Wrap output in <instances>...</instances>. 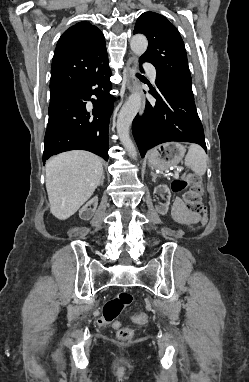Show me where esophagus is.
Returning <instances> with one entry per match:
<instances>
[{
	"label": "esophagus",
	"mask_w": 249,
	"mask_h": 382,
	"mask_svg": "<svg viewBox=\"0 0 249 382\" xmlns=\"http://www.w3.org/2000/svg\"><path fill=\"white\" fill-rule=\"evenodd\" d=\"M137 65H138V59L136 56H132L129 58L125 73H126V79H127V89L130 92H134L138 88V81L135 77V73L137 71ZM143 113V108L140 111V114Z\"/></svg>",
	"instance_id": "1"
}]
</instances>
